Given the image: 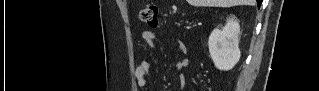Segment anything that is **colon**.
<instances>
[{
    "instance_id": "1",
    "label": "colon",
    "mask_w": 319,
    "mask_h": 91,
    "mask_svg": "<svg viewBox=\"0 0 319 91\" xmlns=\"http://www.w3.org/2000/svg\"><path fill=\"white\" fill-rule=\"evenodd\" d=\"M157 13L158 7L154 3H149L139 11V19L150 27L156 28L158 26Z\"/></svg>"
}]
</instances>
